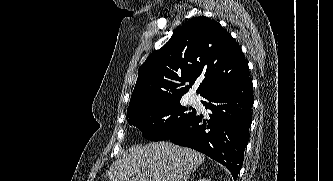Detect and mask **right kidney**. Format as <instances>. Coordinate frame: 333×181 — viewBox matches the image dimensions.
<instances>
[{
  "label": "right kidney",
  "mask_w": 333,
  "mask_h": 181,
  "mask_svg": "<svg viewBox=\"0 0 333 181\" xmlns=\"http://www.w3.org/2000/svg\"><path fill=\"white\" fill-rule=\"evenodd\" d=\"M198 181H210L209 179H200Z\"/></svg>",
  "instance_id": "ca27d5eb"
}]
</instances>
